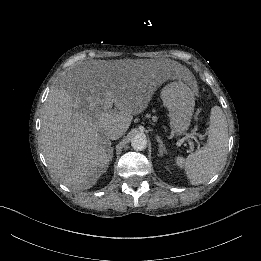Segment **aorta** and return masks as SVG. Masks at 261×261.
I'll list each match as a JSON object with an SVG mask.
<instances>
[{
    "label": "aorta",
    "mask_w": 261,
    "mask_h": 261,
    "mask_svg": "<svg viewBox=\"0 0 261 261\" xmlns=\"http://www.w3.org/2000/svg\"><path fill=\"white\" fill-rule=\"evenodd\" d=\"M131 146L136 151H142L146 149L147 139L145 135L137 134L131 139Z\"/></svg>",
    "instance_id": "762f6f07"
}]
</instances>
